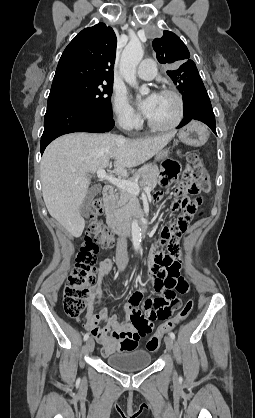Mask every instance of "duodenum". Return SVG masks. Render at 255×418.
<instances>
[{
    "mask_svg": "<svg viewBox=\"0 0 255 418\" xmlns=\"http://www.w3.org/2000/svg\"><path fill=\"white\" fill-rule=\"evenodd\" d=\"M103 200L107 210V223L108 227L117 235H130L131 228L133 224H136L137 227L142 231L146 232L148 229V222L138 213H135L133 218L130 220H125L118 217L112 208V200L114 198L115 190L114 187L110 184H107L103 187Z\"/></svg>",
    "mask_w": 255,
    "mask_h": 418,
    "instance_id": "duodenum-1",
    "label": "duodenum"
}]
</instances>
